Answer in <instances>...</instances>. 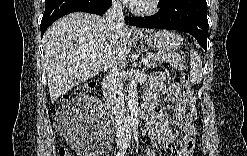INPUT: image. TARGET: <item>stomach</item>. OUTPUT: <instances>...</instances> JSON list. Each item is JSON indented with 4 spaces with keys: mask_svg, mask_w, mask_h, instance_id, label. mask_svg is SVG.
<instances>
[{
    "mask_svg": "<svg viewBox=\"0 0 247 156\" xmlns=\"http://www.w3.org/2000/svg\"><path fill=\"white\" fill-rule=\"evenodd\" d=\"M141 43L158 50L160 53L174 52L183 44V38L175 31L162 30L154 34L136 36Z\"/></svg>",
    "mask_w": 247,
    "mask_h": 156,
    "instance_id": "1",
    "label": "stomach"
}]
</instances>
